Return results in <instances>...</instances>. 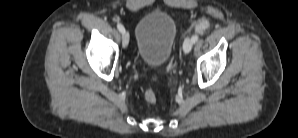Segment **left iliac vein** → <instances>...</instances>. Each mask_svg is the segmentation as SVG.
<instances>
[{
	"mask_svg": "<svg viewBox=\"0 0 298 138\" xmlns=\"http://www.w3.org/2000/svg\"><path fill=\"white\" fill-rule=\"evenodd\" d=\"M194 41H195V40H194L193 38H189V39L187 40L186 47H187L188 49H190Z\"/></svg>",
	"mask_w": 298,
	"mask_h": 138,
	"instance_id": "1",
	"label": "left iliac vein"
}]
</instances>
